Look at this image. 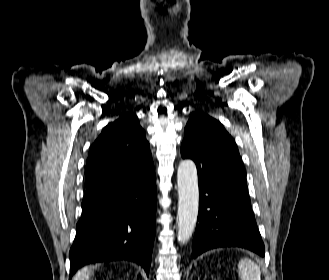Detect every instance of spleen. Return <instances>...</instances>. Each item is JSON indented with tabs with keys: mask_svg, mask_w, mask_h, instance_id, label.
<instances>
[{
	"mask_svg": "<svg viewBox=\"0 0 329 280\" xmlns=\"http://www.w3.org/2000/svg\"><path fill=\"white\" fill-rule=\"evenodd\" d=\"M238 273L241 280H261L259 267L250 259H241L238 263Z\"/></svg>",
	"mask_w": 329,
	"mask_h": 280,
	"instance_id": "1",
	"label": "spleen"
}]
</instances>
